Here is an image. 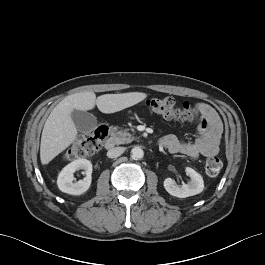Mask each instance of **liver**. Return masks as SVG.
Wrapping results in <instances>:
<instances>
[{
	"label": "liver",
	"instance_id": "obj_1",
	"mask_svg": "<svg viewBox=\"0 0 265 265\" xmlns=\"http://www.w3.org/2000/svg\"><path fill=\"white\" fill-rule=\"evenodd\" d=\"M146 97L143 92L104 94L97 98L94 92H81L65 97L45 122L40 144L41 163L48 164L76 140L78 132L71 118L73 110H92L96 105L102 113H114L136 105Z\"/></svg>",
	"mask_w": 265,
	"mask_h": 265
}]
</instances>
